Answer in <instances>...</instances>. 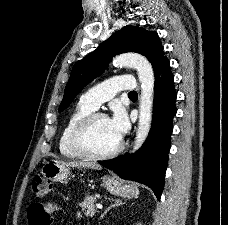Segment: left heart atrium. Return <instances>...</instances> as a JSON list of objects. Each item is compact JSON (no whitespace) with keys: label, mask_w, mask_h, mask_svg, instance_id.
Here are the masks:
<instances>
[{"label":"left heart atrium","mask_w":228,"mask_h":225,"mask_svg":"<svg viewBox=\"0 0 228 225\" xmlns=\"http://www.w3.org/2000/svg\"><path fill=\"white\" fill-rule=\"evenodd\" d=\"M108 123L113 135L121 140L128 130V120L125 113L120 109L114 110L112 117L108 119Z\"/></svg>","instance_id":"1"}]
</instances>
